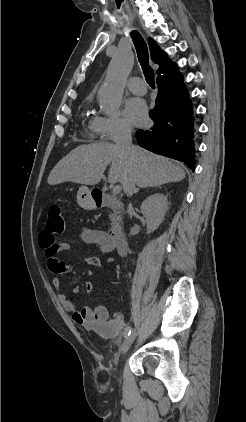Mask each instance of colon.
<instances>
[{
  "label": "colon",
  "mask_w": 246,
  "mask_h": 422,
  "mask_svg": "<svg viewBox=\"0 0 246 422\" xmlns=\"http://www.w3.org/2000/svg\"><path fill=\"white\" fill-rule=\"evenodd\" d=\"M46 228L52 233H61L64 230V218L60 200L51 201L48 208Z\"/></svg>",
  "instance_id": "5ec220e1"
}]
</instances>
